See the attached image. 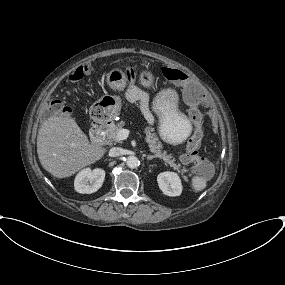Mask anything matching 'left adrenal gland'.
<instances>
[{
	"label": "left adrenal gland",
	"instance_id": "left-adrenal-gland-1",
	"mask_svg": "<svg viewBox=\"0 0 285 285\" xmlns=\"http://www.w3.org/2000/svg\"><path fill=\"white\" fill-rule=\"evenodd\" d=\"M146 158H147V160L149 161V160L154 159L155 157H154V156H152V155H148V156H146Z\"/></svg>",
	"mask_w": 285,
	"mask_h": 285
}]
</instances>
